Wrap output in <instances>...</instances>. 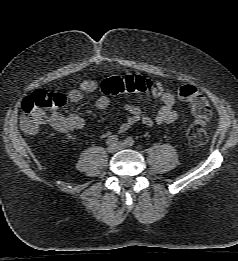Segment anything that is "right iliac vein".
Listing matches in <instances>:
<instances>
[{
  "instance_id": "1",
  "label": "right iliac vein",
  "mask_w": 238,
  "mask_h": 261,
  "mask_svg": "<svg viewBox=\"0 0 238 261\" xmlns=\"http://www.w3.org/2000/svg\"><path fill=\"white\" fill-rule=\"evenodd\" d=\"M117 150H118L117 145H111V146H109V147L107 148V151H108L109 153H115Z\"/></svg>"
}]
</instances>
